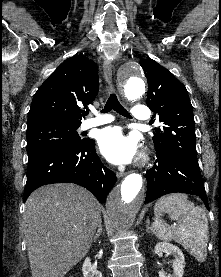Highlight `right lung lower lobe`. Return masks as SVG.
<instances>
[{"label": "right lung lower lobe", "mask_w": 221, "mask_h": 277, "mask_svg": "<svg viewBox=\"0 0 221 277\" xmlns=\"http://www.w3.org/2000/svg\"><path fill=\"white\" fill-rule=\"evenodd\" d=\"M58 182L83 186L104 203L116 183V175L100 161L94 140L86 139L68 149L45 153L28 162L24 202L38 187Z\"/></svg>", "instance_id": "98d812e1"}]
</instances>
